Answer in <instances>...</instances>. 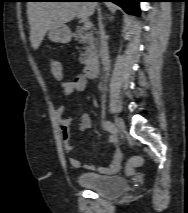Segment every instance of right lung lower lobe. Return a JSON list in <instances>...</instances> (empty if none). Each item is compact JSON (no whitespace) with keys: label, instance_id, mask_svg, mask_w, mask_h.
I'll return each mask as SVG.
<instances>
[{"label":"right lung lower lobe","instance_id":"1","mask_svg":"<svg viewBox=\"0 0 188 213\" xmlns=\"http://www.w3.org/2000/svg\"><path fill=\"white\" fill-rule=\"evenodd\" d=\"M90 1H109L118 4L121 6L126 12L139 15V6L138 2L141 0H90Z\"/></svg>","mask_w":188,"mask_h":213}]
</instances>
